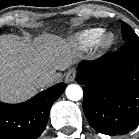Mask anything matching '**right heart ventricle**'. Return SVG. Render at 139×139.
<instances>
[{
  "label": "right heart ventricle",
  "instance_id": "e07e8e85",
  "mask_svg": "<svg viewBox=\"0 0 139 139\" xmlns=\"http://www.w3.org/2000/svg\"><path fill=\"white\" fill-rule=\"evenodd\" d=\"M102 33V28L86 29L75 35L74 42L79 48L87 50L96 45V42Z\"/></svg>",
  "mask_w": 139,
  "mask_h": 139
}]
</instances>
